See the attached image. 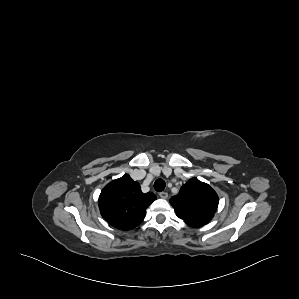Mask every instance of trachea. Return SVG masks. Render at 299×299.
I'll return each mask as SVG.
<instances>
[{
    "mask_svg": "<svg viewBox=\"0 0 299 299\" xmlns=\"http://www.w3.org/2000/svg\"><path fill=\"white\" fill-rule=\"evenodd\" d=\"M165 181L163 179H157L154 183V189L157 192H162L165 189Z\"/></svg>",
    "mask_w": 299,
    "mask_h": 299,
    "instance_id": "trachea-1",
    "label": "trachea"
}]
</instances>
